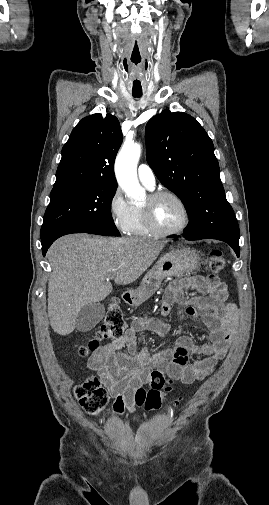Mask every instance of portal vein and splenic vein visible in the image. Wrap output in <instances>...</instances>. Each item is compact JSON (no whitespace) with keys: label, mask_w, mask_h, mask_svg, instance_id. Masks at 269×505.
<instances>
[{"label":"portal vein and splenic vein","mask_w":269,"mask_h":505,"mask_svg":"<svg viewBox=\"0 0 269 505\" xmlns=\"http://www.w3.org/2000/svg\"><path fill=\"white\" fill-rule=\"evenodd\" d=\"M113 278H114V276H113V275H110V276H108L107 280H109V279H113Z\"/></svg>","instance_id":"1"}]
</instances>
